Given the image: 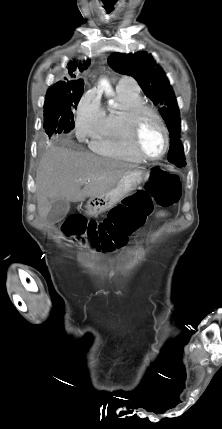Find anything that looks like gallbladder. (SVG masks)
Returning a JSON list of instances; mask_svg holds the SVG:
<instances>
[{"label":"gallbladder","instance_id":"1","mask_svg":"<svg viewBox=\"0 0 222 429\" xmlns=\"http://www.w3.org/2000/svg\"><path fill=\"white\" fill-rule=\"evenodd\" d=\"M70 208V202L67 199L56 200L48 213V221L50 223H58L67 215Z\"/></svg>","mask_w":222,"mask_h":429}]
</instances>
